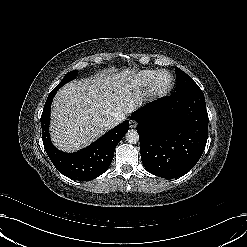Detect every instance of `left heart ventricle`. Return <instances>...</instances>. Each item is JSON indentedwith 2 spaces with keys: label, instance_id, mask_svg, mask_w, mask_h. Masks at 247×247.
I'll return each instance as SVG.
<instances>
[{
  "label": "left heart ventricle",
  "instance_id": "b2bd125f",
  "mask_svg": "<svg viewBox=\"0 0 247 247\" xmlns=\"http://www.w3.org/2000/svg\"><path fill=\"white\" fill-rule=\"evenodd\" d=\"M161 81H162L163 83L167 82V77H165V76L162 77Z\"/></svg>",
  "mask_w": 247,
  "mask_h": 247
}]
</instances>
